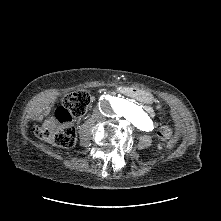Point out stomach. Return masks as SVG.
I'll return each mask as SVG.
<instances>
[{
  "label": "stomach",
  "instance_id": "stomach-1",
  "mask_svg": "<svg viewBox=\"0 0 221 221\" xmlns=\"http://www.w3.org/2000/svg\"><path fill=\"white\" fill-rule=\"evenodd\" d=\"M133 95L139 97V98H149L150 97V94L147 93V92H144V91H141V90H138V89H135L131 92Z\"/></svg>",
  "mask_w": 221,
  "mask_h": 221
}]
</instances>
